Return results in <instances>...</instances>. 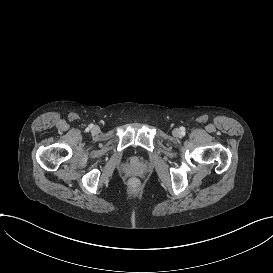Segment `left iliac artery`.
<instances>
[{
    "label": "left iliac artery",
    "mask_w": 273,
    "mask_h": 273,
    "mask_svg": "<svg viewBox=\"0 0 273 273\" xmlns=\"http://www.w3.org/2000/svg\"><path fill=\"white\" fill-rule=\"evenodd\" d=\"M181 130H182V132L184 133V131H185V128H184V127H181Z\"/></svg>",
    "instance_id": "obj_1"
}]
</instances>
